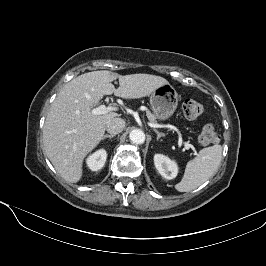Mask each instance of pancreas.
Segmentation results:
<instances>
[{"mask_svg": "<svg viewBox=\"0 0 266 266\" xmlns=\"http://www.w3.org/2000/svg\"><path fill=\"white\" fill-rule=\"evenodd\" d=\"M146 116L152 122L156 120V117L154 116V114H152L148 109H146Z\"/></svg>", "mask_w": 266, "mask_h": 266, "instance_id": "cf45deb5", "label": "pancreas"}]
</instances>
